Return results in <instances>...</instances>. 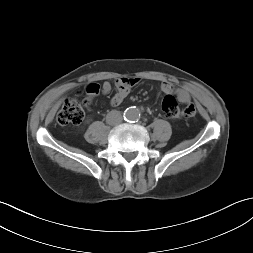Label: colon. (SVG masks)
Returning a JSON list of instances; mask_svg holds the SVG:
<instances>
[{"instance_id": "5ec220e1", "label": "colon", "mask_w": 253, "mask_h": 253, "mask_svg": "<svg viewBox=\"0 0 253 253\" xmlns=\"http://www.w3.org/2000/svg\"><path fill=\"white\" fill-rule=\"evenodd\" d=\"M94 95L96 93H89ZM88 104V98H67L57 115V120L61 125L79 124L84 118V107ZM181 108L177 100L172 95H166L162 101V111L166 118L179 120L182 118Z\"/></svg>"}]
</instances>
